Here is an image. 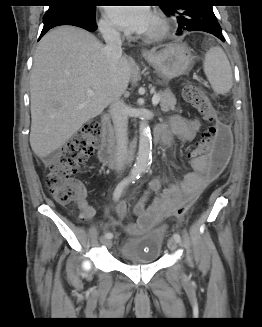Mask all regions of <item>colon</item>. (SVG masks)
<instances>
[{"mask_svg":"<svg viewBox=\"0 0 262 327\" xmlns=\"http://www.w3.org/2000/svg\"><path fill=\"white\" fill-rule=\"evenodd\" d=\"M184 98L207 122L214 123L205 128L191 155L205 156L208 175L210 179H215L223 173L229 160L232 148L230 130L226 125L216 121L215 110L202 88L195 85L186 86ZM100 138L99 122L89 121L61 148L50 163L47 186L57 202L66 204L78 199L82 189L74 180V175L98 146ZM192 203L186 201L180 204L169 215L183 217ZM117 213L119 220H122L126 208L123 205L119 206Z\"/></svg>","mask_w":262,"mask_h":327,"instance_id":"obj_1","label":"colon"}]
</instances>
